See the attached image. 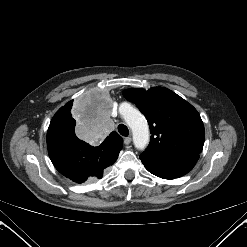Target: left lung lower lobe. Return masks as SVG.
<instances>
[{
  "mask_svg": "<svg viewBox=\"0 0 247 247\" xmlns=\"http://www.w3.org/2000/svg\"><path fill=\"white\" fill-rule=\"evenodd\" d=\"M199 155L166 156L144 151L140 160L152 174L163 179H175L188 173L196 164Z\"/></svg>",
  "mask_w": 247,
  "mask_h": 247,
  "instance_id": "0a47b994",
  "label": "left lung lower lobe"
}]
</instances>
